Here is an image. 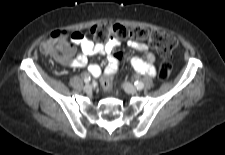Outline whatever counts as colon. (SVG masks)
I'll use <instances>...</instances> for the list:
<instances>
[{
	"label": "colon",
	"instance_id": "obj_1",
	"mask_svg": "<svg viewBox=\"0 0 225 155\" xmlns=\"http://www.w3.org/2000/svg\"><path fill=\"white\" fill-rule=\"evenodd\" d=\"M89 33L98 42H106L110 39H114L117 42H124L129 39L148 41L150 45L162 55L170 54L177 46L176 39L167 33L150 31L144 28L129 29L124 25L116 23L97 24L89 30ZM71 34L72 33L63 30L51 33L50 36L42 43L41 49L43 54L60 60L67 59L73 52ZM123 59V54L116 52L111 56L109 63H114L119 67V63H121ZM105 68H107V65ZM173 71L174 66L172 63H163L159 70L160 79H167ZM111 77L112 75L107 76L105 73H102L101 86L103 89L109 90L112 88L113 83L110 80Z\"/></svg>",
	"mask_w": 225,
	"mask_h": 155
}]
</instances>
